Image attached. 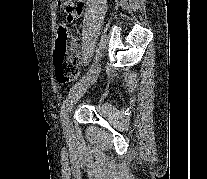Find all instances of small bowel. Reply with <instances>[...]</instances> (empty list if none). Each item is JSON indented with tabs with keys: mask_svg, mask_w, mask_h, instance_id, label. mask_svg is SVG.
I'll list each match as a JSON object with an SVG mask.
<instances>
[{
	"mask_svg": "<svg viewBox=\"0 0 207 179\" xmlns=\"http://www.w3.org/2000/svg\"><path fill=\"white\" fill-rule=\"evenodd\" d=\"M83 8H84V4L82 1H79L77 4H76V7H75V10L71 16V21L74 20V19H77L81 16L82 12H83ZM72 49L73 50H76L78 48V45L76 43L75 40L72 41Z\"/></svg>",
	"mask_w": 207,
	"mask_h": 179,
	"instance_id": "c3829d8e",
	"label": "small bowel"
}]
</instances>
